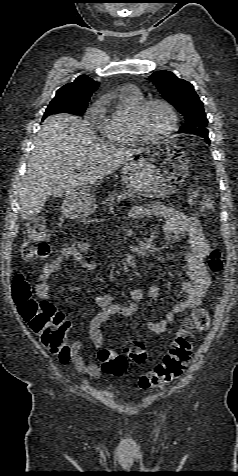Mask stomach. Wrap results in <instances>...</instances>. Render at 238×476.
I'll list each match as a JSON object with an SVG mask.
<instances>
[{
    "instance_id": "obj_1",
    "label": "stomach",
    "mask_w": 238,
    "mask_h": 476,
    "mask_svg": "<svg viewBox=\"0 0 238 476\" xmlns=\"http://www.w3.org/2000/svg\"><path fill=\"white\" fill-rule=\"evenodd\" d=\"M131 158L122 165V181L128 189L147 196L173 193L189 170L186 153L173 144H145L140 152H132ZM95 207L90 187L67 196L63 203L65 215L75 219L89 216Z\"/></svg>"
}]
</instances>
